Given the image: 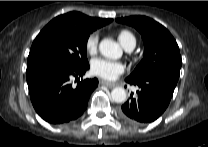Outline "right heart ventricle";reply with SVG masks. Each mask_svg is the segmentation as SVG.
<instances>
[{"instance_id":"1","label":"right heart ventricle","mask_w":208,"mask_h":147,"mask_svg":"<svg viewBox=\"0 0 208 147\" xmlns=\"http://www.w3.org/2000/svg\"><path fill=\"white\" fill-rule=\"evenodd\" d=\"M120 44L127 49L132 44H136V39L134 35L128 30H121L117 34Z\"/></svg>"}]
</instances>
